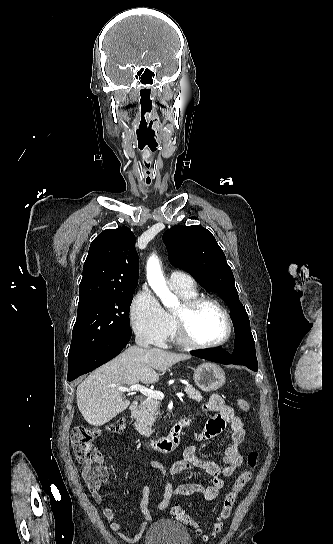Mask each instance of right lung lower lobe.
I'll return each mask as SVG.
<instances>
[{"mask_svg": "<svg viewBox=\"0 0 333 544\" xmlns=\"http://www.w3.org/2000/svg\"><path fill=\"white\" fill-rule=\"evenodd\" d=\"M132 332H120L92 347L84 355L68 361L67 380L73 381L117 356L127 345Z\"/></svg>", "mask_w": 333, "mask_h": 544, "instance_id": "right-lung-lower-lobe-1", "label": "right lung lower lobe"}]
</instances>
